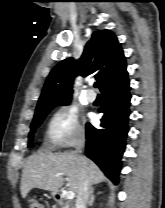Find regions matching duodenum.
<instances>
[{"label": "duodenum", "instance_id": "410a0bca", "mask_svg": "<svg viewBox=\"0 0 165 208\" xmlns=\"http://www.w3.org/2000/svg\"><path fill=\"white\" fill-rule=\"evenodd\" d=\"M54 197L58 202H60L62 204L64 203L63 195L60 192H55Z\"/></svg>", "mask_w": 165, "mask_h": 208}]
</instances>
